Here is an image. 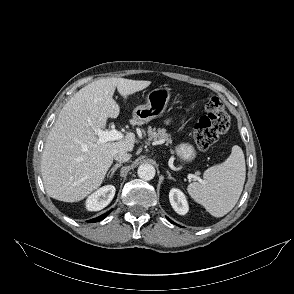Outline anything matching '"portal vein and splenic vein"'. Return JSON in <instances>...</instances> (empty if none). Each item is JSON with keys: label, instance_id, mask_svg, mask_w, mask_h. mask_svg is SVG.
Listing matches in <instances>:
<instances>
[{"label": "portal vein and splenic vein", "instance_id": "portal-vein-and-splenic-vein-1", "mask_svg": "<svg viewBox=\"0 0 294 294\" xmlns=\"http://www.w3.org/2000/svg\"><path fill=\"white\" fill-rule=\"evenodd\" d=\"M95 134L98 136L99 143H105L108 141L121 140L123 138V134L116 130L115 128L111 130H102L100 128H93Z\"/></svg>", "mask_w": 294, "mask_h": 294}]
</instances>
